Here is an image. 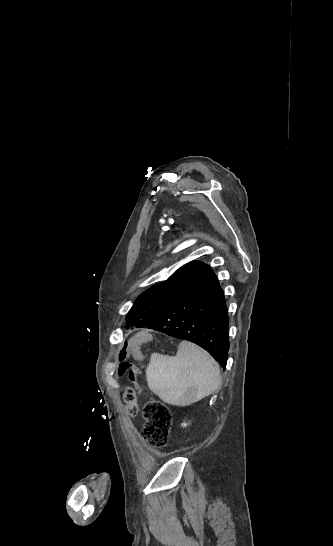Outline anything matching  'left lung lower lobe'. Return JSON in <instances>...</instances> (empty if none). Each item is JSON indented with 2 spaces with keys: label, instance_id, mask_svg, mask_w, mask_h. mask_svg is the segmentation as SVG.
<instances>
[{
  "label": "left lung lower lobe",
  "instance_id": "1",
  "mask_svg": "<svg viewBox=\"0 0 333 546\" xmlns=\"http://www.w3.org/2000/svg\"><path fill=\"white\" fill-rule=\"evenodd\" d=\"M126 321L127 328H141L133 317ZM145 327L198 344L226 368L228 309L223 290L208 265L200 270L187 290Z\"/></svg>",
  "mask_w": 333,
  "mask_h": 546
}]
</instances>
